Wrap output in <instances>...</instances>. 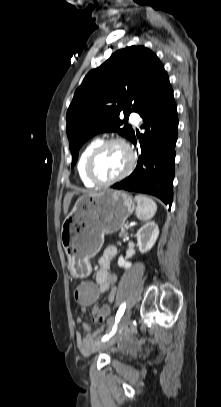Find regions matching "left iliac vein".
Listing matches in <instances>:
<instances>
[{
	"mask_svg": "<svg viewBox=\"0 0 221 407\" xmlns=\"http://www.w3.org/2000/svg\"><path fill=\"white\" fill-rule=\"evenodd\" d=\"M131 315H132L131 310H127L125 312V314L121 318V322H120V326H119L120 329H123L129 323Z\"/></svg>",
	"mask_w": 221,
	"mask_h": 407,
	"instance_id": "left-iliac-vein-1",
	"label": "left iliac vein"
}]
</instances>
